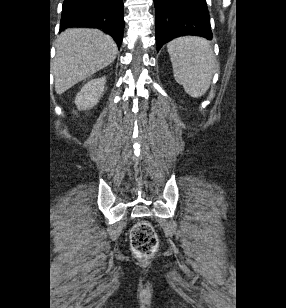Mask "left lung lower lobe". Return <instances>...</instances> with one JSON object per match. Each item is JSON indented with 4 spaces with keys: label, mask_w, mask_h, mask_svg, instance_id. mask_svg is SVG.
<instances>
[{
    "label": "left lung lower lobe",
    "mask_w": 286,
    "mask_h": 308,
    "mask_svg": "<svg viewBox=\"0 0 286 308\" xmlns=\"http://www.w3.org/2000/svg\"><path fill=\"white\" fill-rule=\"evenodd\" d=\"M157 51L183 35L213 37L206 0H154Z\"/></svg>",
    "instance_id": "1"
}]
</instances>
